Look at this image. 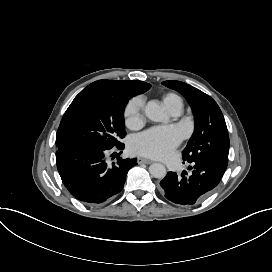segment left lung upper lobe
I'll list each match as a JSON object with an SVG mask.
<instances>
[{
  "mask_svg": "<svg viewBox=\"0 0 272 272\" xmlns=\"http://www.w3.org/2000/svg\"><path fill=\"white\" fill-rule=\"evenodd\" d=\"M181 93L195 115V130L183 151L184 161H204L226 169L228 164L229 135L223 114L213 98L184 82H162Z\"/></svg>",
  "mask_w": 272,
  "mask_h": 272,
  "instance_id": "obj_1",
  "label": "left lung upper lobe"
}]
</instances>
